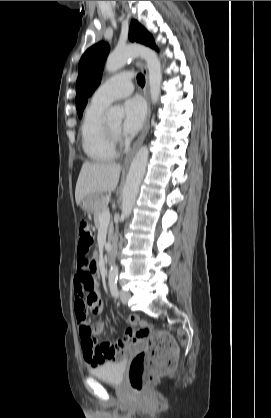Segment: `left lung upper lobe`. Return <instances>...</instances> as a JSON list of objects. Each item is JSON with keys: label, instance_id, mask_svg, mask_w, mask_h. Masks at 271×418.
<instances>
[{"label": "left lung upper lobe", "instance_id": "left-lung-upper-lobe-1", "mask_svg": "<svg viewBox=\"0 0 271 418\" xmlns=\"http://www.w3.org/2000/svg\"><path fill=\"white\" fill-rule=\"evenodd\" d=\"M129 38L131 41H137L156 49L153 37L135 20L131 22ZM109 50L108 44L99 42L90 47L79 62L76 83V108L80 118L88 97L101 81L104 61Z\"/></svg>", "mask_w": 271, "mask_h": 418}]
</instances>
